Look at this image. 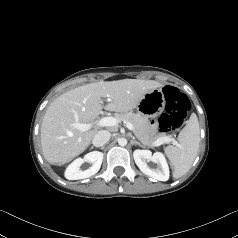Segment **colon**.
<instances>
[{"label":"colon","mask_w":238,"mask_h":238,"mask_svg":"<svg viewBox=\"0 0 238 238\" xmlns=\"http://www.w3.org/2000/svg\"><path fill=\"white\" fill-rule=\"evenodd\" d=\"M163 94L166 107L165 112L159 117V128L163 133H168L183 124L190 109V101L185 94L173 86L164 87Z\"/></svg>","instance_id":"obj_1"}]
</instances>
